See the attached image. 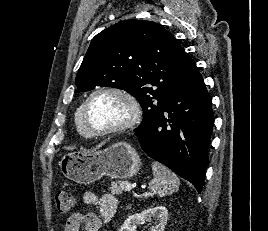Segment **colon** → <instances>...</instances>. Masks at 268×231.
Wrapping results in <instances>:
<instances>
[{
    "mask_svg": "<svg viewBox=\"0 0 268 231\" xmlns=\"http://www.w3.org/2000/svg\"><path fill=\"white\" fill-rule=\"evenodd\" d=\"M55 203H56L58 212L62 214H66L74 208L76 204V198L70 192L59 191L56 194Z\"/></svg>",
    "mask_w": 268,
    "mask_h": 231,
    "instance_id": "5ec220e1",
    "label": "colon"
}]
</instances>
